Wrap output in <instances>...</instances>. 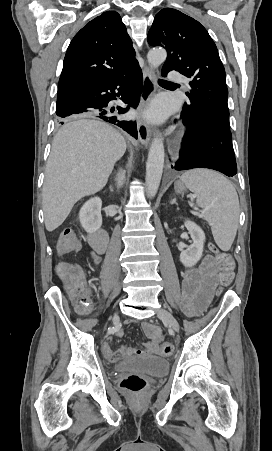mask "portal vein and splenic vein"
Here are the masks:
<instances>
[{
    "mask_svg": "<svg viewBox=\"0 0 272 451\" xmlns=\"http://www.w3.org/2000/svg\"><path fill=\"white\" fill-rule=\"evenodd\" d=\"M192 198H196L195 194H194V196H192Z\"/></svg>",
    "mask_w": 272,
    "mask_h": 451,
    "instance_id": "18ae733b",
    "label": "portal vein and splenic vein"
}]
</instances>
